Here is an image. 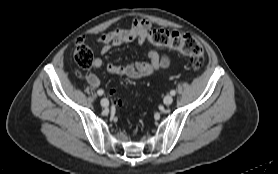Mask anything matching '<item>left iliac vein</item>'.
Wrapping results in <instances>:
<instances>
[{
  "label": "left iliac vein",
  "instance_id": "obj_1",
  "mask_svg": "<svg viewBox=\"0 0 278 174\" xmlns=\"http://www.w3.org/2000/svg\"><path fill=\"white\" fill-rule=\"evenodd\" d=\"M165 105H170L173 102V97L171 95H166L163 99Z\"/></svg>",
  "mask_w": 278,
  "mask_h": 174
}]
</instances>
